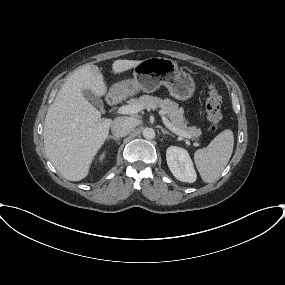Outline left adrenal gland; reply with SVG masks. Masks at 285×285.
Segmentation results:
<instances>
[{
    "label": "left adrenal gland",
    "mask_w": 285,
    "mask_h": 285,
    "mask_svg": "<svg viewBox=\"0 0 285 285\" xmlns=\"http://www.w3.org/2000/svg\"><path fill=\"white\" fill-rule=\"evenodd\" d=\"M161 131H162L163 135L167 134V135L174 137V135L172 133H170L169 131H167L165 129H162Z\"/></svg>",
    "instance_id": "a2214340"
}]
</instances>
